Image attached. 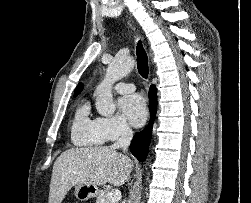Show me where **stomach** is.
Masks as SVG:
<instances>
[{
	"instance_id": "0dacf381",
	"label": "stomach",
	"mask_w": 251,
	"mask_h": 203,
	"mask_svg": "<svg viewBox=\"0 0 251 203\" xmlns=\"http://www.w3.org/2000/svg\"><path fill=\"white\" fill-rule=\"evenodd\" d=\"M98 188L88 184H77L75 186V196L80 201H86L98 195Z\"/></svg>"
}]
</instances>
